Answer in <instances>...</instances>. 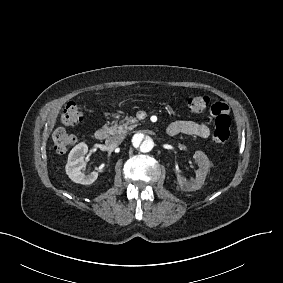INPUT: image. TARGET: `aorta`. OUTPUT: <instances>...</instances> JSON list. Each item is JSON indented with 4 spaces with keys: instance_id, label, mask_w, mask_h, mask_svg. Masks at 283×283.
Instances as JSON below:
<instances>
[{
    "instance_id": "1",
    "label": "aorta",
    "mask_w": 283,
    "mask_h": 283,
    "mask_svg": "<svg viewBox=\"0 0 283 283\" xmlns=\"http://www.w3.org/2000/svg\"><path fill=\"white\" fill-rule=\"evenodd\" d=\"M155 147L153 138L144 131L137 132L133 135L130 142V149L133 152L142 154L149 153Z\"/></svg>"
}]
</instances>
